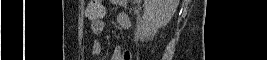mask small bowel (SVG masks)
I'll use <instances>...</instances> for the list:
<instances>
[{
    "label": "small bowel",
    "mask_w": 267,
    "mask_h": 60,
    "mask_svg": "<svg viewBox=\"0 0 267 60\" xmlns=\"http://www.w3.org/2000/svg\"><path fill=\"white\" fill-rule=\"evenodd\" d=\"M114 4L119 6H125L126 1L125 0H113ZM86 15L90 20V31L94 35H99L104 30V23L102 21V17L104 15V8L103 13L97 17L96 19H91L89 15V5L86 9ZM117 24L122 30H127L131 26L130 17L126 13H120L117 16ZM102 53V44L98 38L94 39L93 45H92V54L93 56H99ZM131 54L128 51H125L121 46H117L112 54L111 60H130Z\"/></svg>",
    "instance_id": "obj_1"
}]
</instances>
